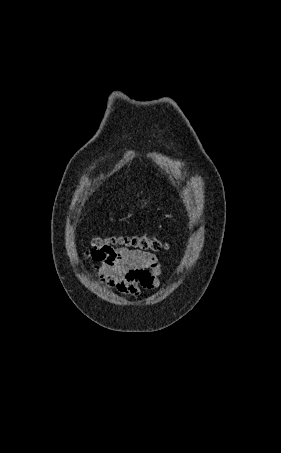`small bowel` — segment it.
<instances>
[{
  "mask_svg": "<svg viewBox=\"0 0 281 453\" xmlns=\"http://www.w3.org/2000/svg\"><path fill=\"white\" fill-rule=\"evenodd\" d=\"M101 265L91 267L101 284L125 296L155 290L163 281V269L155 254L117 247L101 252Z\"/></svg>",
  "mask_w": 281,
  "mask_h": 453,
  "instance_id": "obj_1",
  "label": "small bowel"
}]
</instances>
